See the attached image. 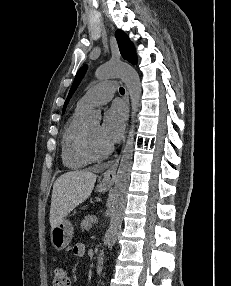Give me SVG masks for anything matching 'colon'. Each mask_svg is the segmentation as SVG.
Here are the masks:
<instances>
[{"instance_id": "5ec220e1", "label": "colon", "mask_w": 231, "mask_h": 286, "mask_svg": "<svg viewBox=\"0 0 231 286\" xmlns=\"http://www.w3.org/2000/svg\"><path fill=\"white\" fill-rule=\"evenodd\" d=\"M53 286H70V277L68 272L63 268H56L53 273Z\"/></svg>"}]
</instances>
